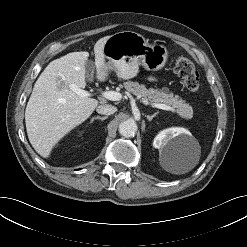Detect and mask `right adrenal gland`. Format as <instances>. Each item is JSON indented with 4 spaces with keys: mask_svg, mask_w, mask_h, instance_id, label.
<instances>
[{
    "mask_svg": "<svg viewBox=\"0 0 247 247\" xmlns=\"http://www.w3.org/2000/svg\"><path fill=\"white\" fill-rule=\"evenodd\" d=\"M106 118H107V116H104V117L96 116V117H93V118L91 119V122H90V123H93V121H94V120H97V119L103 121V120H105Z\"/></svg>",
    "mask_w": 247,
    "mask_h": 247,
    "instance_id": "obj_1",
    "label": "right adrenal gland"
}]
</instances>
